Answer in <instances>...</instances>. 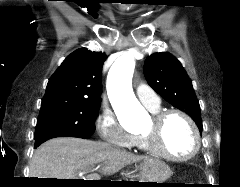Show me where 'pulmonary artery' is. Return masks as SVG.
<instances>
[{
	"instance_id": "e3ab8cb5",
	"label": "pulmonary artery",
	"mask_w": 240,
	"mask_h": 187,
	"mask_svg": "<svg viewBox=\"0 0 240 187\" xmlns=\"http://www.w3.org/2000/svg\"><path fill=\"white\" fill-rule=\"evenodd\" d=\"M136 95L140 102L150 110H157L160 106V99L156 93L146 84L136 86Z\"/></svg>"
}]
</instances>
